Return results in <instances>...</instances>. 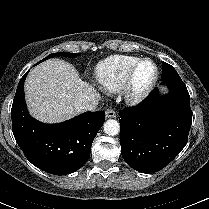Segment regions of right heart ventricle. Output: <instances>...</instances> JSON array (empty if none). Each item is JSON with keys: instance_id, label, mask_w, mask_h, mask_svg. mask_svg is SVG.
Segmentation results:
<instances>
[{"instance_id": "e07e8e85", "label": "right heart ventricle", "mask_w": 209, "mask_h": 209, "mask_svg": "<svg viewBox=\"0 0 209 209\" xmlns=\"http://www.w3.org/2000/svg\"><path fill=\"white\" fill-rule=\"evenodd\" d=\"M140 60L134 56L118 55L105 60L99 68L98 80L110 92L120 91L132 67Z\"/></svg>"}]
</instances>
